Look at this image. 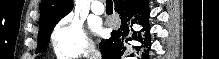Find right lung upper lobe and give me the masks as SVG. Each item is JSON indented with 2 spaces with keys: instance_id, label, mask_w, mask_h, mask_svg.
Returning <instances> with one entry per match:
<instances>
[{
  "instance_id": "right-lung-upper-lobe-1",
  "label": "right lung upper lobe",
  "mask_w": 219,
  "mask_h": 59,
  "mask_svg": "<svg viewBox=\"0 0 219 59\" xmlns=\"http://www.w3.org/2000/svg\"><path fill=\"white\" fill-rule=\"evenodd\" d=\"M73 8V0H42L39 28L59 21Z\"/></svg>"
}]
</instances>
